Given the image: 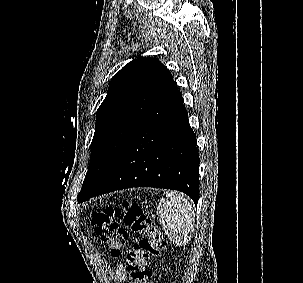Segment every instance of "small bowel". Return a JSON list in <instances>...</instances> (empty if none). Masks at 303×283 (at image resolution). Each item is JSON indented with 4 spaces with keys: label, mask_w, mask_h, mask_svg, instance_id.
<instances>
[{
    "label": "small bowel",
    "mask_w": 303,
    "mask_h": 283,
    "mask_svg": "<svg viewBox=\"0 0 303 283\" xmlns=\"http://www.w3.org/2000/svg\"><path fill=\"white\" fill-rule=\"evenodd\" d=\"M116 278L120 283H125L127 278L126 266L124 264H120L116 269Z\"/></svg>",
    "instance_id": "obj_1"
}]
</instances>
